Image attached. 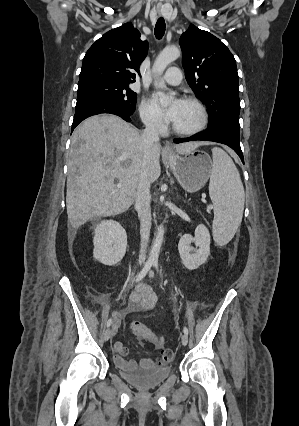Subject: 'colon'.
Listing matches in <instances>:
<instances>
[{
	"instance_id": "5ec220e1",
	"label": "colon",
	"mask_w": 299,
	"mask_h": 426,
	"mask_svg": "<svg viewBox=\"0 0 299 426\" xmlns=\"http://www.w3.org/2000/svg\"><path fill=\"white\" fill-rule=\"evenodd\" d=\"M131 329L134 335H136L137 337L145 341H148L159 348H162V350H165V351L169 350V349L163 348L164 346L163 338L155 334L150 328H148L143 323L139 321H134L131 324Z\"/></svg>"
}]
</instances>
